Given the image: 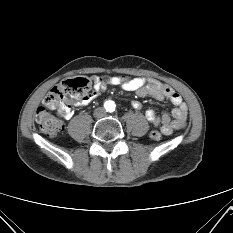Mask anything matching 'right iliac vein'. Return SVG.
Returning a JSON list of instances; mask_svg holds the SVG:
<instances>
[{"instance_id":"63e3f726","label":"right iliac vein","mask_w":233,"mask_h":233,"mask_svg":"<svg viewBox=\"0 0 233 233\" xmlns=\"http://www.w3.org/2000/svg\"><path fill=\"white\" fill-rule=\"evenodd\" d=\"M94 115L97 117L98 116V112H96Z\"/></svg>"}]
</instances>
